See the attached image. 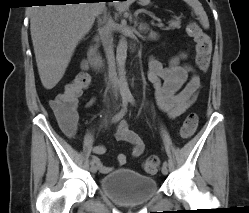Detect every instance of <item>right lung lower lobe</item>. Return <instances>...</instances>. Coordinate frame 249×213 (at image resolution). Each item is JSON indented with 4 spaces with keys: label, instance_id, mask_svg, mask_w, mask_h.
<instances>
[{
    "label": "right lung lower lobe",
    "instance_id": "right-lung-lower-lobe-1",
    "mask_svg": "<svg viewBox=\"0 0 249 213\" xmlns=\"http://www.w3.org/2000/svg\"><path fill=\"white\" fill-rule=\"evenodd\" d=\"M42 3H54V4H66V3H78L81 1H95V0H44ZM104 1H114V0H104ZM123 1V0H121ZM93 3V2H92Z\"/></svg>",
    "mask_w": 249,
    "mask_h": 213
}]
</instances>
